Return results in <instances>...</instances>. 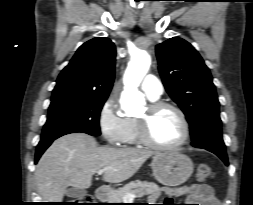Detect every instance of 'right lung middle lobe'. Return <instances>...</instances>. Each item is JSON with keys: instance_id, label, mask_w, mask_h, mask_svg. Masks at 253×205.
<instances>
[{"instance_id": "obj_1", "label": "right lung middle lobe", "mask_w": 253, "mask_h": 205, "mask_svg": "<svg viewBox=\"0 0 253 205\" xmlns=\"http://www.w3.org/2000/svg\"><path fill=\"white\" fill-rule=\"evenodd\" d=\"M106 99L67 97L52 100L41 139L74 132L99 136V116Z\"/></svg>"}]
</instances>
